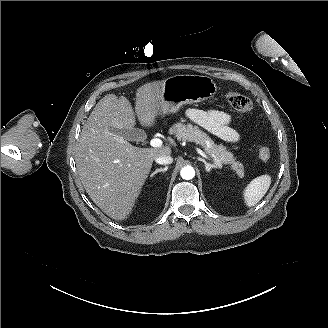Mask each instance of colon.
<instances>
[{
    "instance_id": "5ec220e1",
    "label": "colon",
    "mask_w": 328,
    "mask_h": 328,
    "mask_svg": "<svg viewBox=\"0 0 328 328\" xmlns=\"http://www.w3.org/2000/svg\"><path fill=\"white\" fill-rule=\"evenodd\" d=\"M225 99L231 107H233L235 110L239 112L248 113L252 110V102L250 101V99L238 92H234V91L227 92L225 95ZM256 153L258 158L262 162L269 161L271 157L270 149L264 145H257Z\"/></svg>"
}]
</instances>
